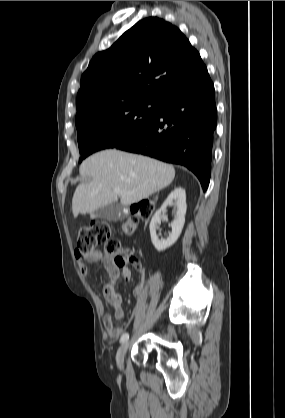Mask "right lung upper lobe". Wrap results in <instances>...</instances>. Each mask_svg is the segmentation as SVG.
Listing matches in <instances>:
<instances>
[{
  "label": "right lung upper lobe",
  "mask_w": 285,
  "mask_h": 418,
  "mask_svg": "<svg viewBox=\"0 0 285 418\" xmlns=\"http://www.w3.org/2000/svg\"><path fill=\"white\" fill-rule=\"evenodd\" d=\"M206 72L198 51L176 26L145 18L90 61L81 77L76 123L120 104H159Z\"/></svg>",
  "instance_id": "1"
}]
</instances>
